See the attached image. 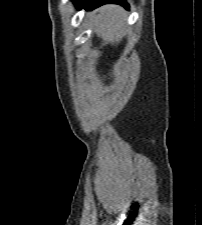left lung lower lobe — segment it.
I'll return each instance as SVG.
<instances>
[{"label": "left lung lower lobe", "mask_w": 202, "mask_h": 225, "mask_svg": "<svg viewBox=\"0 0 202 225\" xmlns=\"http://www.w3.org/2000/svg\"><path fill=\"white\" fill-rule=\"evenodd\" d=\"M108 3L120 4L128 8V4L126 3V0H77L75 2V5L77 8L84 7L86 9L92 10L103 4H108Z\"/></svg>", "instance_id": "obj_1"}]
</instances>
